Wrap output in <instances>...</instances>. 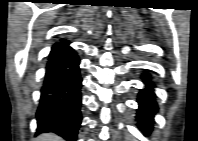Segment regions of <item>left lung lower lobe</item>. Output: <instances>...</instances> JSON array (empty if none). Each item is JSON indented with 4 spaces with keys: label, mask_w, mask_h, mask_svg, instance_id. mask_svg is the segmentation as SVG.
Wrapping results in <instances>:
<instances>
[{
    "label": "left lung lower lobe",
    "mask_w": 198,
    "mask_h": 141,
    "mask_svg": "<svg viewBox=\"0 0 198 141\" xmlns=\"http://www.w3.org/2000/svg\"><path fill=\"white\" fill-rule=\"evenodd\" d=\"M142 78L145 83V88L138 94L139 108L137 110L136 120L138 121L139 129L147 136L153 130V118L158 107L154 93L155 86L151 81L150 74L145 72L142 74Z\"/></svg>",
    "instance_id": "obj_1"
}]
</instances>
